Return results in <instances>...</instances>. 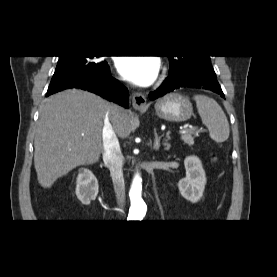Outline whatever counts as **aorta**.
Returning <instances> with one entry per match:
<instances>
[{"instance_id":"obj_1","label":"aorta","mask_w":277,"mask_h":277,"mask_svg":"<svg viewBox=\"0 0 277 277\" xmlns=\"http://www.w3.org/2000/svg\"><path fill=\"white\" fill-rule=\"evenodd\" d=\"M141 193H142V179L139 173H136L133 178L130 191H129V197L131 202L129 216H128L129 219L142 220L146 214L147 207L141 197Z\"/></svg>"}]
</instances>
